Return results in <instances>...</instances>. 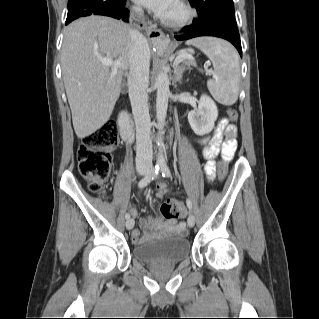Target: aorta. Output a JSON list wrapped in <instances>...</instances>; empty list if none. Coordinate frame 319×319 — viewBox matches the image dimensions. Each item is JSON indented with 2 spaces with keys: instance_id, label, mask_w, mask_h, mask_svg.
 <instances>
[{
  "instance_id": "1",
  "label": "aorta",
  "mask_w": 319,
  "mask_h": 319,
  "mask_svg": "<svg viewBox=\"0 0 319 319\" xmlns=\"http://www.w3.org/2000/svg\"><path fill=\"white\" fill-rule=\"evenodd\" d=\"M156 88H157V98H156V117L158 123V129L160 131L163 130L165 119L167 115V108H168V99L170 95L169 90V77L167 72L161 71L156 79ZM157 163L159 165H163L165 163V158L160 148V153L157 159Z\"/></svg>"
}]
</instances>
